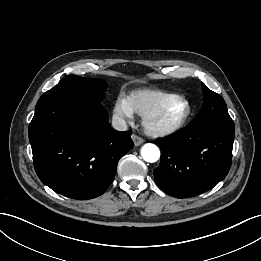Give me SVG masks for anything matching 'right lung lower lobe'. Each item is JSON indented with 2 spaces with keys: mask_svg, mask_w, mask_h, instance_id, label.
Segmentation results:
<instances>
[{
  "mask_svg": "<svg viewBox=\"0 0 261 261\" xmlns=\"http://www.w3.org/2000/svg\"><path fill=\"white\" fill-rule=\"evenodd\" d=\"M113 130L99 102L39 99L29 125L35 171L53 191L87 200L102 195L134 143Z\"/></svg>",
  "mask_w": 261,
  "mask_h": 261,
  "instance_id": "98d812e1",
  "label": "right lung lower lobe"
}]
</instances>
